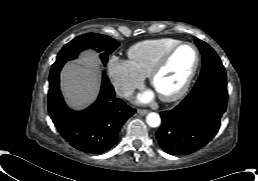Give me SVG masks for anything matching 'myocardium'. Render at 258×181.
I'll use <instances>...</instances> for the list:
<instances>
[{
  "label": "myocardium",
  "mask_w": 258,
  "mask_h": 181,
  "mask_svg": "<svg viewBox=\"0 0 258 181\" xmlns=\"http://www.w3.org/2000/svg\"><path fill=\"white\" fill-rule=\"evenodd\" d=\"M183 46H190L194 50L195 55H196L195 64H194L190 74L188 75L186 81L184 82V84L181 86V88L179 90H177L175 93L169 94V95L158 94L159 98L164 102H174V101L180 99L181 97H183L186 94V92L189 90V88L197 74L199 66H200L201 59H200V52H199L198 48L196 47L195 44L188 42V41L178 42L173 47H171L169 50H167L158 59V61L152 68L151 72L149 73V76H148L149 81H150L151 86L154 88L155 80L158 77V75L166 67V65L171 60L172 56L176 53V51Z\"/></svg>",
  "instance_id": "myocardium-1"
}]
</instances>
